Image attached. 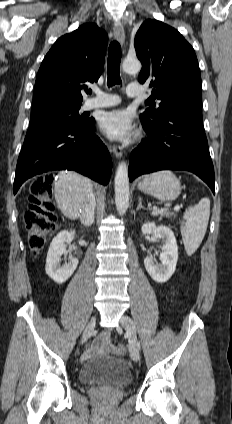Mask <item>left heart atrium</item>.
<instances>
[{
	"label": "left heart atrium",
	"mask_w": 232,
	"mask_h": 424,
	"mask_svg": "<svg viewBox=\"0 0 232 424\" xmlns=\"http://www.w3.org/2000/svg\"><path fill=\"white\" fill-rule=\"evenodd\" d=\"M100 127L113 140L127 141L134 134L132 117L125 110L105 113L101 118Z\"/></svg>",
	"instance_id": "39dd6f15"
}]
</instances>
